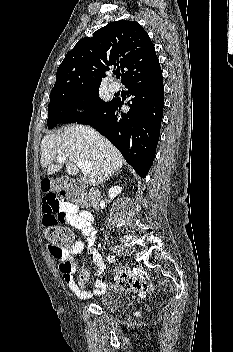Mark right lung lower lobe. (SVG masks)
<instances>
[{
  "instance_id": "right-lung-lower-lobe-1",
  "label": "right lung lower lobe",
  "mask_w": 233,
  "mask_h": 352,
  "mask_svg": "<svg viewBox=\"0 0 233 352\" xmlns=\"http://www.w3.org/2000/svg\"><path fill=\"white\" fill-rule=\"evenodd\" d=\"M130 107L121 111L123 101L115 98L107 106L77 123L91 125L115 145L137 174L144 178L153 163L164 106L161 69L125 84Z\"/></svg>"
}]
</instances>
